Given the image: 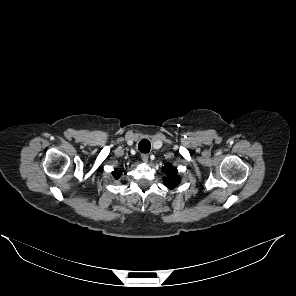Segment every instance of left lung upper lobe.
<instances>
[{"mask_svg":"<svg viewBox=\"0 0 296 296\" xmlns=\"http://www.w3.org/2000/svg\"><path fill=\"white\" fill-rule=\"evenodd\" d=\"M162 171L167 175V177L164 179L165 186L170 189L175 188L180 182L179 176L177 175V169L171 164H168L162 168Z\"/></svg>","mask_w":296,"mask_h":296,"instance_id":"obj_1","label":"left lung upper lobe"}]
</instances>
